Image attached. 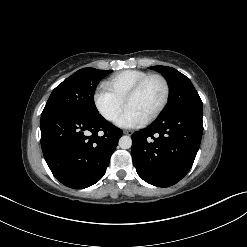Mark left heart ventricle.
I'll use <instances>...</instances> for the list:
<instances>
[{
  "label": "left heart ventricle",
  "instance_id": "b2bd125f",
  "mask_svg": "<svg viewBox=\"0 0 247 247\" xmlns=\"http://www.w3.org/2000/svg\"><path fill=\"white\" fill-rule=\"evenodd\" d=\"M164 98V86L157 78L150 79L127 104L143 117H149L161 104Z\"/></svg>",
  "mask_w": 247,
  "mask_h": 247
}]
</instances>
